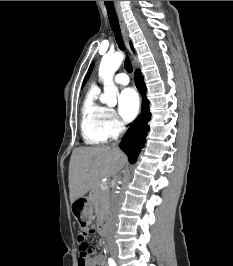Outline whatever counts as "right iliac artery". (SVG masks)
<instances>
[{"instance_id": "82829eb1", "label": "right iliac artery", "mask_w": 233, "mask_h": 266, "mask_svg": "<svg viewBox=\"0 0 233 266\" xmlns=\"http://www.w3.org/2000/svg\"><path fill=\"white\" fill-rule=\"evenodd\" d=\"M108 264H109V266H116V263L112 258L108 259Z\"/></svg>"}]
</instances>
